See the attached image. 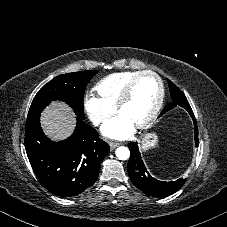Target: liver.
<instances>
[{"label":"liver","instance_id":"1","mask_svg":"<svg viewBox=\"0 0 227 227\" xmlns=\"http://www.w3.org/2000/svg\"><path fill=\"white\" fill-rule=\"evenodd\" d=\"M44 132L53 140H63L75 128V115L65 103L52 102L41 115Z\"/></svg>","mask_w":227,"mask_h":227}]
</instances>
